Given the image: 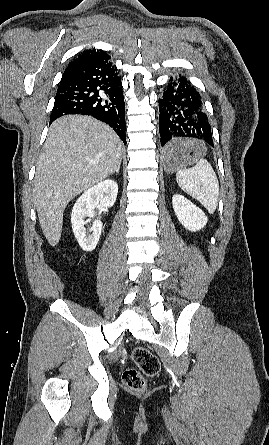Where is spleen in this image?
Returning a JSON list of instances; mask_svg holds the SVG:
<instances>
[{
	"mask_svg": "<svg viewBox=\"0 0 269 445\" xmlns=\"http://www.w3.org/2000/svg\"><path fill=\"white\" fill-rule=\"evenodd\" d=\"M176 181L188 195L198 200L213 214L218 204L219 182L211 164L201 158L192 168H180Z\"/></svg>",
	"mask_w": 269,
	"mask_h": 445,
	"instance_id": "spleen-1",
	"label": "spleen"
}]
</instances>
